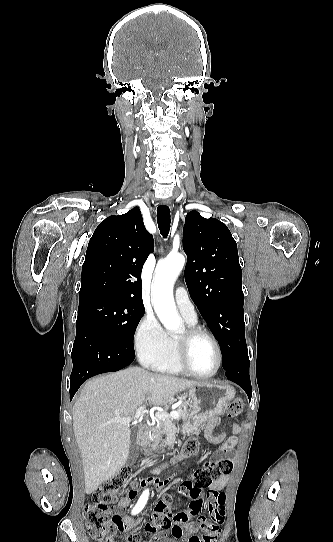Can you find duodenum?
Here are the masks:
<instances>
[{
    "mask_svg": "<svg viewBox=\"0 0 333 542\" xmlns=\"http://www.w3.org/2000/svg\"><path fill=\"white\" fill-rule=\"evenodd\" d=\"M138 443L139 445L143 446L146 444V432L143 430L140 432L138 436ZM161 471V467H156L153 469L154 473H159Z\"/></svg>",
    "mask_w": 333,
    "mask_h": 542,
    "instance_id": "duodenum-1",
    "label": "duodenum"
}]
</instances>
